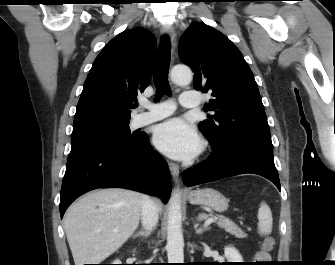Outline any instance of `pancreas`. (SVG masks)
I'll use <instances>...</instances> for the list:
<instances>
[{"label":"pancreas","mask_w":335,"mask_h":265,"mask_svg":"<svg viewBox=\"0 0 335 265\" xmlns=\"http://www.w3.org/2000/svg\"><path fill=\"white\" fill-rule=\"evenodd\" d=\"M209 215L207 214H201L200 218H208ZM216 219H218V226L221 228H224L225 231H227L228 233H230L231 235H234L237 238H244L246 237V234L238 227V225H236L233 221H231L228 218H225L223 216H212Z\"/></svg>","instance_id":"1"}]
</instances>
